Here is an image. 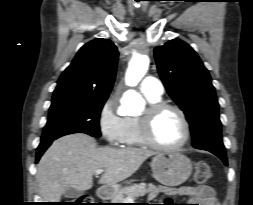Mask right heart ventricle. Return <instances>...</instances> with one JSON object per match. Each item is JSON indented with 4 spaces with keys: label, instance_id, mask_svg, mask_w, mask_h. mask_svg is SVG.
I'll return each mask as SVG.
<instances>
[{
    "label": "right heart ventricle",
    "instance_id": "e07e8e85",
    "mask_svg": "<svg viewBox=\"0 0 253 205\" xmlns=\"http://www.w3.org/2000/svg\"><path fill=\"white\" fill-rule=\"evenodd\" d=\"M150 104L161 102V96L155 97L145 95ZM122 144L126 147H143L146 146L141 138L139 117H125V130Z\"/></svg>",
    "mask_w": 253,
    "mask_h": 205
}]
</instances>
